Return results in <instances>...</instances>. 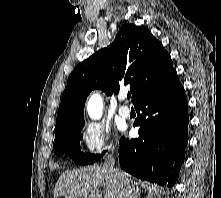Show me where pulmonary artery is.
<instances>
[{"instance_id":"1","label":"pulmonary artery","mask_w":221,"mask_h":198,"mask_svg":"<svg viewBox=\"0 0 221 198\" xmlns=\"http://www.w3.org/2000/svg\"><path fill=\"white\" fill-rule=\"evenodd\" d=\"M126 98V95L125 94H121L119 96V99L121 101H124ZM120 117L126 119V118H129L130 117V114H131V111H130V108L126 105H122L120 108H119V111H118Z\"/></svg>"}]
</instances>
